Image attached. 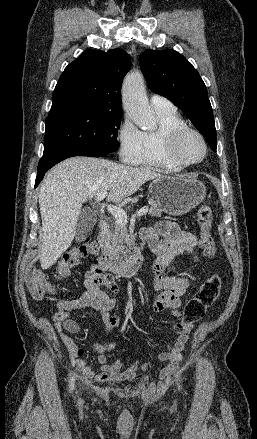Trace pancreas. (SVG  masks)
Wrapping results in <instances>:
<instances>
[{"label": "pancreas", "instance_id": "pancreas-1", "mask_svg": "<svg viewBox=\"0 0 257 439\" xmlns=\"http://www.w3.org/2000/svg\"><path fill=\"white\" fill-rule=\"evenodd\" d=\"M148 202L151 205L149 214L152 217H160L164 208L154 198H150ZM111 231L105 233L106 240L104 245V254L109 257L110 261H116L122 258L126 248L124 243L129 245V235L126 224H120L117 220L111 223Z\"/></svg>", "mask_w": 257, "mask_h": 439}]
</instances>
